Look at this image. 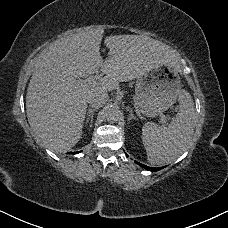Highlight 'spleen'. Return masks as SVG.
<instances>
[{
	"label": "spleen",
	"mask_w": 228,
	"mask_h": 228,
	"mask_svg": "<svg viewBox=\"0 0 228 228\" xmlns=\"http://www.w3.org/2000/svg\"><path fill=\"white\" fill-rule=\"evenodd\" d=\"M179 110L168 125L147 122L142 129V141L150 164L159 165L176 160L186 150L195 127V109L191 95L182 90Z\"/></svg>",
	"instance_id": "1"
}]
</instances>
